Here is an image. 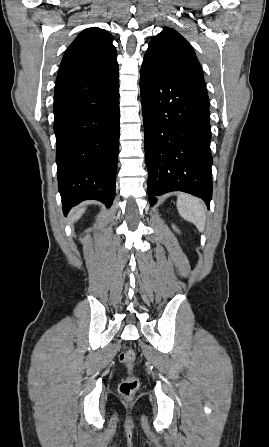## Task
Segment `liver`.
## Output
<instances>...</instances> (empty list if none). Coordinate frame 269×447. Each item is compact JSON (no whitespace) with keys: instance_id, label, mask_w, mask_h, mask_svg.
Here are the masks:
<instances>
[{"instance_id":"obj_1","label":"liver","mask_w":269,"mask_h":447,"mask_svg":"<svg viewBox=\"0 0 269 447\" xmlns=\"http://www.w3.org/2000/svg\"><path fill=\"white\" fill-rule=\"evenodd\" d=\"M85 210L86 208H78V210H75L74 214H71L69 220H74V222H76V220H79V218H81Z\"/></svg>"}]
</instances>
